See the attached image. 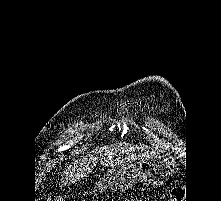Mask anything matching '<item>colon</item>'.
I'll return each instance as SVG.
<instances>
[{
	"label": "colon",
	"instance_id": "colon-1",
	"mask_svg": "<svg viewBox=\"0 0 221 201\" xmlns=\"http://www.w3.org/2000/svg\"><path fill=\"white\" fill-rule=\"evenodd\" d=\"M41 201H64L61 196L52 195ZM169 201H186V190L182 187H176L172 190Z\"/></svg>",
	"mask_w": 221,
	"mask_h": 201
}]
</instances>
